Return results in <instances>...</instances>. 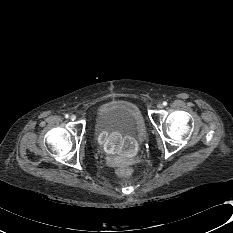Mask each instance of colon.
Segmentation results:
<instances>
[{
    "label": "colon",
    "mask_w": 233,
    "mask_h": 233,
    "mask_svg": "<svg viewBox=\"0 0 233 233\" xmlns=\"http://www.w3.org/2000/svg\"><path fill=\"white\" fill-rule=\"evenodd\" d=\"M117 175L121 178H129L132 175V173L130 169L123 167L117 170Z\"/></svg>",
    "instance_id": "colon-1"
}]
</instances>
